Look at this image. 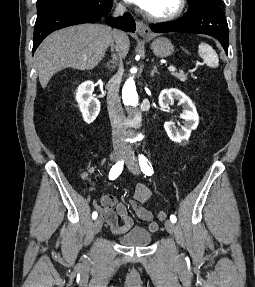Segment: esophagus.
<instances>
[{
  "mask_svg": "<svg viewBox=\"0 0 255 287\" xmlns=\"http://www.w3.org/2000/svg\"><path fill=\"white\" fill-rule=\"evenodd\" d=\"M136 31L141 37H148L150 34L148 25L141 20H136Z\"/></svg>",
  "mask_w": 255,
  "mask_h": 287,
  "instance_id": "esophagus-1",
  "label": "esophagus"
}]
</instances>
